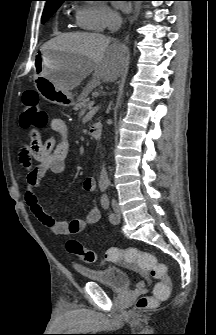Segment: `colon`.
<instances>
[{"mask_svg": "<svg viewBox=\"0 0 216 335\" xmlns=\"http://www.w3.org/2000/svg\"><path fill=\"white\" fill-rule=\"evenodd\" d=\"M23 112L21 126L29 130L42 129L47 123V114L40 103L39 94L34 90H26L22 95ZM67 251L86 263H94L97 260L96 253L82 246L77 240L70 239L66 242ZM105 261L122 262L135 266L141 272L147 273L153 279L158 280L154 286L153 296H143L136 303L138 309L152 306L158 299H167L171 293L172 282L168 275L166 265L159 263L157 258L149 252L140 251L137 248L120 249L109 248L104 256Z\"/></svg>", "mask_w": 216, "mask_h": 335, "instance_id": "5ec220e1", "label": "colon"}]
</instances>
